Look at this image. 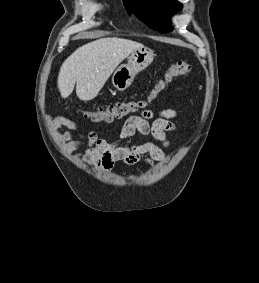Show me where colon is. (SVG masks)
I'll use <instances>...</instances> for the list:
<instances>
[{
  "mask_svg": "<svg viewBox=\"0 0 259 283\" xmlns=\"http://www.w3.org/2000/svg\"><path fill=\"white\" fill-rule=\"evenodd\" d=\"M192 71L190 63L178 61L173 63L162 77L154 84L145 99L119 101L108 106H99L94 110L84 112L85 117L95 122H113L123 119L146 107L166 86L176 77L187 75Z\"/></svg>",
  "mask_w": 259,
  "mask_h": 283,
  "instance_id": "obj_1",
  "label": "colon"
}]
</instances>
